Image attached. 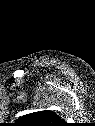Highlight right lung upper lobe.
Returning <instances> with one entry per match:
<instances>
[{"label": "right lung upper lobe", "instance_id": "cb5924a9", "mask_svg": "<svg viewBox=\"0 0 95 126\" xmlns=\"http://www.w3.org/2000/svg\"><path fill=\"white\" fill-rule=\"evenodd\" d=\"M22 126H65V121L51 110L30 113L17 120Z\"/></svg>", "mask_w": 95, "mask_h": 126}]
</instances>
